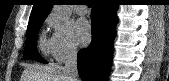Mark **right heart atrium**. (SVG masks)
Instances as JSON below:
<instances>
[{"instance_id":"right-heart-atrium-1","label":"right heart atrium","mask_w":169,"mask_h":81,"mask_svg":"<svg viewBox=\"0 0 169 81\" xmlns=\"http://www.w3.org/2000/svg\"><path fill=\"white\" fill-rule=\"evenodd\" d=\"M46 23L51 30L47 44L52 57L62 62L76 55L78 47L70 26L57 21L54 15H49Z\"/></svg>"}]
</instances>
